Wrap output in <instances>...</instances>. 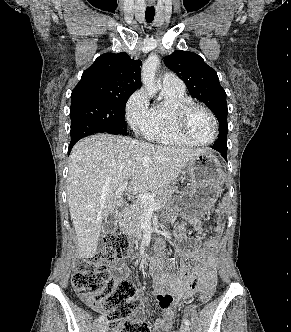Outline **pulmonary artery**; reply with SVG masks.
<instances>
[{"label":"pulmonary artery","mask_w":291,"mask_h":332,"mask_svg":"<svg viewBox=\"0 0 291 332\" xmlns=\"http://www.w3.org/2000/svg\"><path fill=\"white\" fill-rule=\"evenodd\" d=\"M162 85L163 88L166 90H172L178 92L185 90V85L183 81L175 74L169 72L165 73L162 76Z\"/></svg>","instance_id":"obj_1"}]
</instances>
